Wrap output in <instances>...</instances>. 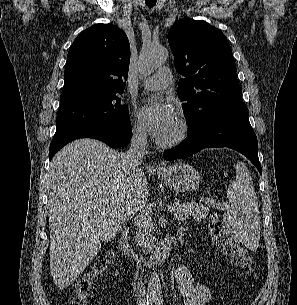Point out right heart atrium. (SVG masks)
I'll list each match as a JSON object with an SVG mask.
<instances>
[{"mask_svg":"<svg viewBox=\"0 0 297 305\" xmlns=\"http://www.w3.org/2000/svg\"><path fill=\"white\" fill-rule=\"evenodd\" d=\"M131 137L136 142H144L146 139V131L142 123L137 117H134L130 124Z\"/></svg>","mask_w":297,"mask_h":305,"instance_id":"obj_1","label":"right heart atrium"}]
</instances>
